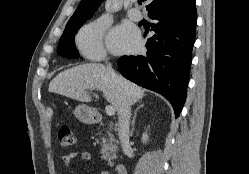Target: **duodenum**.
I'll return each instance as SVG.
<instances>
[{
	"mask_svg": "<svg viewBox=\"0 0 249 174\" xmlns=\"http://www.w3.org/2000/svg\"><path fill=\"white\" fill-rule=\"evenodd\" d=\"M94 123H99L100 122V119L96 116H94L93 120H92ZM115 171L117 174H127V168L125 165L123 164H117L115 166Z\"/></svg>",
	"mask_w": 249,
	"mask_h": 174,
	"instance_id": "410a0bca",
	"label": "duodenum"
}]
</instances>
